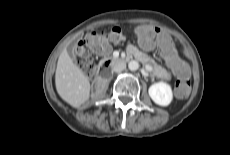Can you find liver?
Returning a JSON list of instances; mask_svg holds the SVG:
<instances>
[{
    "mask_svg": "<svg viewBox=\"0 0 230 155\" xmlns=\"http://www.w3.org/2000/svg\"><path fill=\"white\" fill-rule=\"evenodd\" d=\"M55 85L59 96L78 108L90 97V82L83 71L72 61L66 48L58 58Z\"/></svg>",
    "mask_w": 230,
    "mask_h": 155,
    "instance_id": "1",
    "label": "liver"
}]
</instances>
